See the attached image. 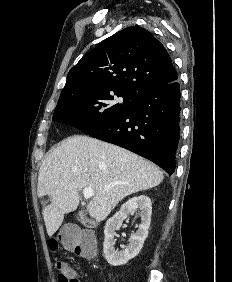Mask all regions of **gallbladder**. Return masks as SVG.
I'll return each instance as SVG.
<instances>
[{"instance_id":"gallbladder-1","label":"gallbladder","mask_w":232,"mask_h":282,"mask_svg":"<svg viewBox=\"0 0 232 282\" xmlns=\"http://www.w3.org/2000/svg\"><path fill=\"white\" fill-rule=\"evenodd\" d=\"M80 220L83 222V223H86V220L81 216L80 217Z\"/></svg>"}]
</instances>
